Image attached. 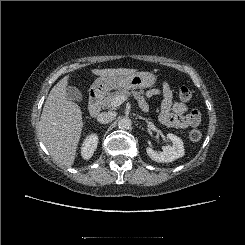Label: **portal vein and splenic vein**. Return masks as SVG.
Masks as SVG:
<instances>
[{"label":"portal vein and splenic vein","instance_id":"1","mask_svg":"<svg viewBox=\"0 0 245 245\" xmlns=\"http://www.w3.org/2000/svg\"><path fill=\"white\" fill-rule=\"evenodd\" d=\"M126 100H127V97L125 96H117L112 100L111 105L113 107H117V106H120Z\"/></svg>","mask_w":245,"mask_h":245}]
</instances>
